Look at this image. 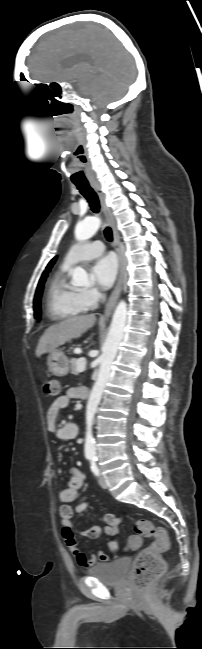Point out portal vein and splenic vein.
Listing matches in <instances>:
<instances>
[{
  "instance_id": "portal-vein-and-splenic-vein-1",
  "label": "portal vein and splenic vein",
  "mask_w": 202,
  "mask_h": 649,
  "mask_svg": "<svg viewBox=\"0 0 202 649\" xmlns=\"http://www.w3.org/2000/svg\"><path fill=\"white\" fill-rule=\"evenodd\" d=\"M77 369L79 372H84L86 369V360L85 358H80L77 362Z\"/></svg>"
}]
</instances>
